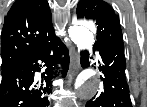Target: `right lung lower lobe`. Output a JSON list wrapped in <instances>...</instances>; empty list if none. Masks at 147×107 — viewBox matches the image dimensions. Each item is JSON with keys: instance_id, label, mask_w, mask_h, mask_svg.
<instances>
[{"instance_id": "obj_1", "label": "right lung lower lobe", "mask_w": 147, "mask_h": 107, "mask_svg": "<svg viewBox=\"0 0 147 107\" xmlns=\"http://www.w3.org/2000/svg\"><path fill=\"white\" fill-rule=\"evenodd\" d=\"M59 63L63 64L64 77L69 67V54L66 46L55 36L22 60L2 68L0 107H48L54 69ZM35 72H40V76Z\"/></svg>"}]
</instances>
